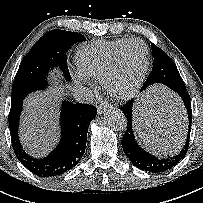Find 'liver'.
<instances>
[{"label": "liver", "mask_w": 203, "mask_h": 203, "mask_svg": "<svg viewBox=\"0 0 203 203\" xmlns=\"http://www.w3.org/2000/svg\"><path fill=\"white\" fill-rule=\"evenodd\" d=\"M64 93L52 89L35 93L25 100L20 136L27 150L36 157L44 156L52 147L56 137V96ZM135 116L136 128L145 144L154 151L164 152L186 133V117L178 101H172L164 110L149 109L140 105Z\"/></svg>", "instance_id": "6515ba94"}]
</instances>
